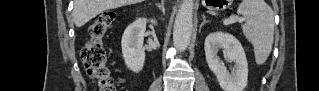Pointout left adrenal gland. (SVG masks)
Instances as JSON below:
<instances>
[{
    "mask_svg": "<svg viewBox=\"0 0 319 91\" xmlns=\"http://www.w3.org/2000/svg\"><path fill=\"white\" fill-rule=\"evenodd\" d=\"M203 20H202V23L200 24V29L204 26V24L208 23L209 21L206 20V17L205 15H203Z\"/></svg>",
    "mask_w": 319,
    "mask_h": 91,
    "instance_id": "1",
    "label": "left adrenal gland"
}]
</instances>
